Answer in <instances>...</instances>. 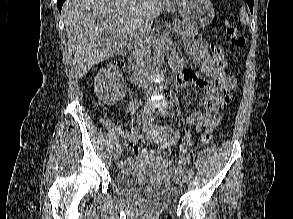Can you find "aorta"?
<instances>
[{
  "label": "aorta",
  "instance_id": "762f6f07",
  "mask_svg": "<svg viewBox=\"0 0 293 219\" xmlns=\"http://www.w3.org/2000/svg\"><path fill=\"white\" fill-rule=\"evenodd\" d=\"M166 41L164 38H160L157 41L154 51L153 63L157 70H160L164 63V52H165Z\"/></svg>",
  "mask_w": 293,
  "mask_h": 219
}]
</instances>
